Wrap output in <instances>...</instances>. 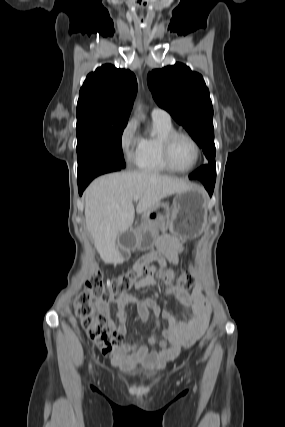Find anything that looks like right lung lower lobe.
Listing matches in <instances>:
<instances>
[{"label": "right lung lower lobe", "instance_id": "right-lung-lower-lobe-1", "mask_svg": "<svg viewBox=\"0 0 285 427\" xmlns=\"http://www.w3.org/2000/svg\"><path fill=\"white\" fill-rule=\"evenodd\" d=\"M124 167L117 166V165H98L95 166L82 175L78 176V190L79 194L82 195L84 189L87 187V185L97 176L109 172L119 171L123 169Z\"/></svg>", "mask_w": 285, "mask_h": 427}]
</instances>
